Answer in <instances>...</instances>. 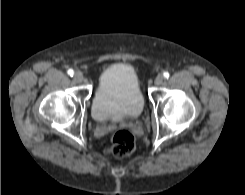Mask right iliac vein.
Wrapping results in <instances>:
<instances>
[{
	"label": "right iliac vein",
	"mask_w": 245,
	"mask_h": 195,
	"mask_svg": "<svg viewBox=\"0 0 245 195\" xmlns=\"http://www.w3.org/2000/svg\"><path fill=\"white\" fill-rule=\"evenodd\" d=\"M74 80L78 83L84 80L83 74L81 72H76L74 75Z\"/></svg>",
	"instance_id": "63e3f726"
}]
</instances>
